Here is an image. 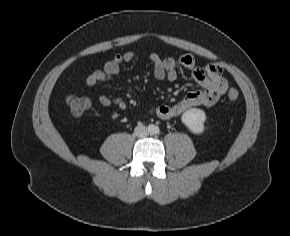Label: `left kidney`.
I'll list each match as a JSON object with an SVG mask.
<instances>
[{"label": "left kidney", "instance_id": "1", "mask_svg": "<svg viewBox=\"0 0 290 236\" xmlns=\"http://www.w3.org/2000/svg\"><path fill=\"white\" fill-rule=\"evenodd\" d=\"M181 120L191 132L201 134L205 129L206 114L201 109L192 108L183 113Z\"/></svg>", "mask_w": 290, "mask_h": 236}]
</instances>
